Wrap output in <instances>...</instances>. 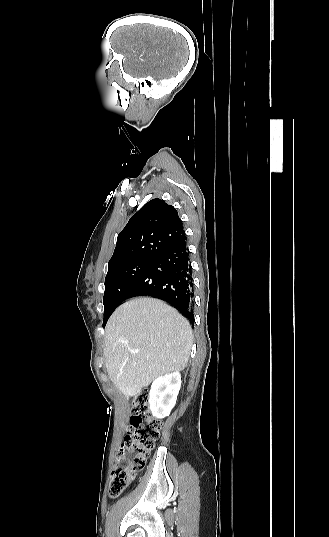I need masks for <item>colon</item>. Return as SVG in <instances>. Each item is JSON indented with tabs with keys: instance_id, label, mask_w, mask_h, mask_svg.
Returning a JSON list of instances; mask_svg holds the SVG:
<instances>
[{
	"instance_id": "5ec220e1",
	"label": "colon",
	"mask_w": 329,
	"mask_h": 537,
	"mask_svg": "<svg viewBox=\"0 0 329 537\" xmlns=\"http://www.w3.org/2000/svg\"><path fill=\"white\" fill-rule=\"evenodd\" d=\"M162 421L150 414L146 391L132 399L129 429L120 446V453L111 472L109 494L118 497L141 469L146 457L160 438Z\"/></svg>"
}]
</instances>
